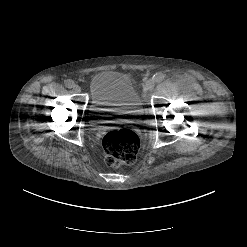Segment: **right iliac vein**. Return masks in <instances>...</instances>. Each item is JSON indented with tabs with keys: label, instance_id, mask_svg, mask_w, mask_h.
I'll use <instances>...</instances> for the list:
<instances>
[{
	"label": "right iliac vein",
	"instance_id": "63e3f726",
	"mask_svg": "<svg viewBox=\"0 0 247 247\" xmlns=\"http://www.w3.org/2000/svg\"><path fill=\"white\" fill-rule=\"evenodd\" d=\"M73 90H74L76 93L81 92V88H80L79 85H75V86L73 87Z\"/></svg>",
	"mask_w": 247,
	"mask_h": 247
}]
</instances>
